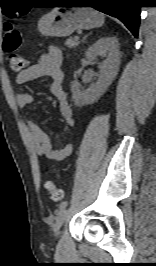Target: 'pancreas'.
<instances>
[{
	"label": "pancreas",
	"mask_w": 156,
	"mask_h": 266,
	"mask_svg": "<svg viewBox=\"0 0 156 266\" xmlns=\"http://www.w3.org/2000/svg\"><path fill=\"white\" fill-rule=\"evenodd\" d=\"M65 45H67L69 48H75L79 45V39L75 38H69L66 40Z\"/></svg>",
	"instance_id": "1"
}]
</instances>
